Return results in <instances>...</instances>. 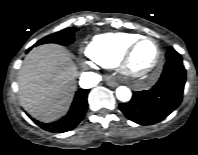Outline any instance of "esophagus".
<instances>
[{
    "mask_svg": "<svg viewBox=\"0 0 198 155\" xmlns=\"http://www.w3.org/2000/svg\"><path fill=\"white\" fill-rule=\"evenodd\" d=\"M105 80H106V84L110 87H116L118 85V83L114 80V78L110 76H106Z\"/></svg>",
    "mask_w": 198,
    "mask_h": 155,
    "instance_id": "34e87169",
    "label": "esophagus"
}]
</instances>
